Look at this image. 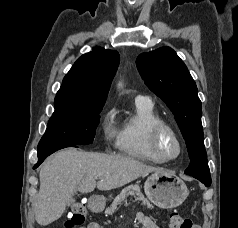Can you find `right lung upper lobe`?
<instances>
[{"instance_id": "cb5924a9", "label": "right lung upper lobe", "mask_w": 238, "mask_h": 228, "mask_svg": "<svg viewBox=\"0 0 238 228\" xmlns=\"http://www.w3.org/2000/svg\"><path fill=\"white\" fill-rule=\"evenodd\" d=\"M118 65L116 51L96 47L81 56L63 79L54 101L55 112L91 110L105 104Z\"/></svg>"}]
</instances>
